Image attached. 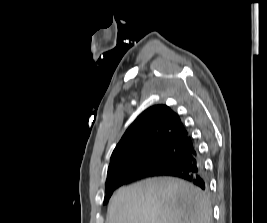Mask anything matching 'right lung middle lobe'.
I'll list each match as a JSON object with an SVG mask.
<instances>
[{
  "label": "right lung middle lobe",
  "instance_id": "dd1d6c3e",
  "mask_svg": "<svg viewBox=\"0 0 267 223\" xmlns=\"http://www.w3.org/2000/svg\"><path fill=\"white\" fill-rule=\"evenodd\" d=\"M184 152L185 150L183 148L176 145L160 147L154 155L145 159L134 160L126 165V171L141 170L152 173H163L169 169ZM111 195L112 193H107L104 203L108 202Z\"/></svg>",
  "mask_w": 267,
  "mask_h": 223
}]
</instances>
